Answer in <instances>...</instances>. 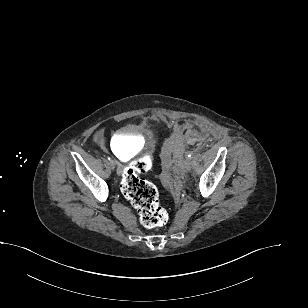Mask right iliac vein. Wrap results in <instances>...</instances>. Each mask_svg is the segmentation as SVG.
Masks as SVG:
<instances>
[{
    "label": "right iliac vein",
    "instance_id": "right-iliac-vein-1",
    "mask_svg": "<svg viewBox=\"0 0 308 308\" xmlns=\"http://www.w3.org/2000/svg\"><path fill=\"white\" fill-rule=\"evenodd\" d=\"M109 165H110V167H111L112 169L115 168V162H114L113 160H110V161H109Z\"/></svg>",
    "mask_w": 308,
    "mask_h": 308
}]
</instances>
